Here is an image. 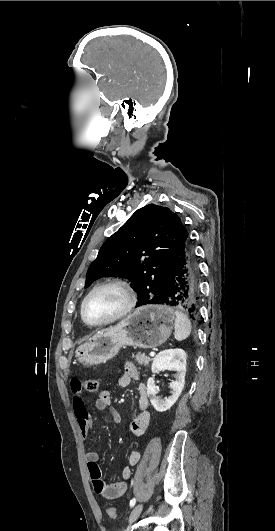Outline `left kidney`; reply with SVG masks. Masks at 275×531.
<instances>
[{
    "instance_id": "obj_1",
    "label": "left kidney",
    "mask_w": 275,
    "mask_h": 531,
    "mask_svg": "<svg viewBox=\"0 0 275 531\" xmlns=\"http://www.w3.org/2000/svg\"><path fill=\"white\" fill-rule=\"evenodd\" d=\"M164 369H170V371H177L176 381L169 383L171 391V397L168 399H158L156 397L158 393L157 387H155V381L153 377H150L147 381V395L156 411L159 413H164L171 409L172 405L176 403L178 397L182 393V389L185 385V375H186V353L183 349H166V351H161L156 355L151 371L152 373H159V371H164Z\"/></svg>"
}]
</instances>
